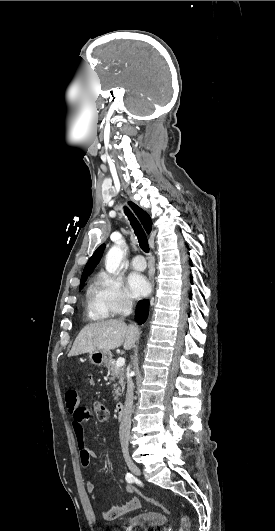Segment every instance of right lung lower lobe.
Segmentation results:
<instances>
[{
  "label": "right lung lower lobe",
  "instance_id": "right-lung-lower-lobe-1",
  "mask_svg": "<svg viewBox=\"0 0 275 531\" xmlns=\"http://www.w3.org/2000/svg\"><path fill=\"white\" fill-rule=\"evenodd\" d=\"M148 311H149V301L148 300L139 301L136 306V312H135L137 323L143 324L146 321L148 317Z\"/></svg>",
  "mask_w": 275,
  "mask_h": 531
}]
</instances>
